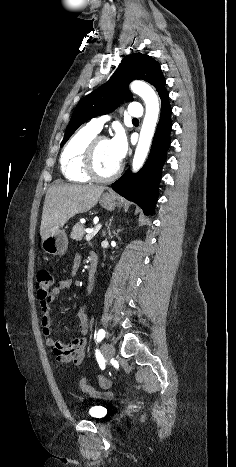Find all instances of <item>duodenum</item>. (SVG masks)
<instances>
[{"mask_svg":"<svg viewBox=\"0 0 236 467\" xmlns=\"http://www.w3.org/2000/svg\"><path fill=\"white\" fill-rule=\"evenodd\" d=\"M97 270H98V266H97V263L95 260H91L90 263H89V267H88V276L90 278H94L95 275L97 274Z\"/></svg>","mask_w":236,"mask_h":467,"instance_id":"obj_1","label":"duodenum"}]
</instances>
